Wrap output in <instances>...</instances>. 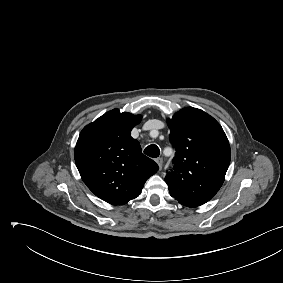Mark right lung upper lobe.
Returning <instances> with one entry per match:
<instances>
[{
    "instance_id": "1",
    "label": "right lung upper lobe",
    "mask_w": 283,
    "mask_h": 283,
    "mask_svg": "<svg viewBox=\"0 0 283 283\" xmlns=\"http://www.w3.org/2000/svg\"><path fill=\"white\" fill-rule=\"evenodd\" d=\"M141 115L111 110L81 131L74 158L82 180L100 199L124 205L138 197L158 165L130 135Z\"/></svg>"
}]
</instances>
